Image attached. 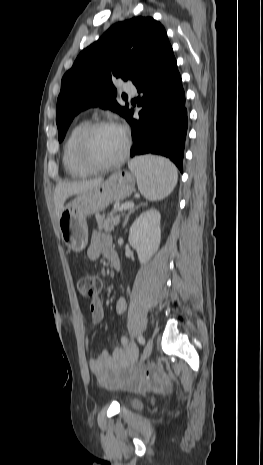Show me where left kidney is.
I'll return each mask as SVG.
<instances>
[{
	"label": "left kidney",
	"instance_id": "obj_1",
	"mask_svg": "<svg viewBox=\"0 0 263 465\" xmlns=\"http://www.w3.org/2000/svg\"><path fill=\"white\" fill-rule=\"evenodd\" d=\"M160 212L150 209L142 213L132 224L129 243L137 251L141 264L146 263L157 251L161 241Z\"/></svg>",
	"mask_w": 263,
	"mask_h": 465
}]
</instances>
